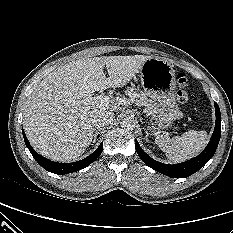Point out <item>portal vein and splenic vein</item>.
<instances>
[{
  "instance_id": "1",
  "label": "portal vein and splenic vein",
  "mask_w": 233,
  "mask_h": 233,
  "mask_svg": "<svg viewBox=\"0 0 233 233\" xmlns=\"http://www.w3.org/2000/svg\"><path fill=\"white\" fill-rule=\"evenodd\" d=\"M85 104H91V105H103L110 103V97L106 95H98L95 97H87V99L84 101Z\"/></svg>"
}]
</instances>
